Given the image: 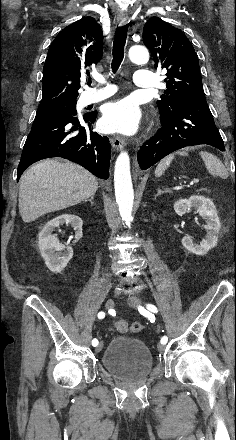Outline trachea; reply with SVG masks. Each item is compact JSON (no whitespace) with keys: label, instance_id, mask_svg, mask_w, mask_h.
I'll use <instances>...</instances> for the list:
<instances>
[{"label":"trachea","instance_id":"1","mask_svg":"<svg viewBox=\"0 0 236 440\" xmlns=\"http://www.w3.org/2000/svg\"><path fill=\"white\" fill-rule=\"evenodd\" d=\"M127 31L128 24L120 26L116 30L113 42V59L111 63L113 73H116L124 58V47L127 38ZM88 84H91V80L88 81Z\"/></svg>","mask_w":236,"mask_h":440}]
</instances>
